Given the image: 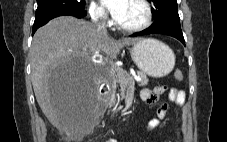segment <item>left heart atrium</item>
I'll use <instances>...</instances> for the list:
<instances>
[{"label":"left heart atrium","instance_id":"obj_1","mask_svg":"<svg viewBox=\"0 0 227 142\" xmlns=\"http://www.w3.org/2000/svg\"><path fill=\"white\" fill-rule=\"evenodd\" d=\"M127 1L128 0H101V3L112 17L118 20L125 10Z\"/></svg>","mask_w":227,"mask_h":142}]
</instances>
